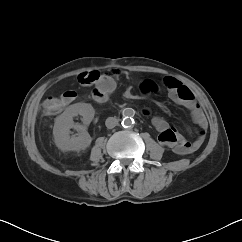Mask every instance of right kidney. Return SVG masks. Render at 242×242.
<instances>
[{
  "label": "right kidney",
  "mask_w": 242,
  "mask_h": 242,
  "mask_svg": "<svg viewBox=\"0 0 242 242\" xmlns=\"http://www.w3.org/2000/svg\"><path fill=\"white\" fill-rule=\"evenodd\" d=\"M94 114V108L88 103H75L67 107L55 120L53 135L56 146L63 152H78L88 148L92 138L86 129L93 120ZM77 115L82 116L83 125L74 123L73 118ZM71 128L78 131V136H70Z\"/></svg>",
  "instance_id": "obj_1"
}]
</instances>
